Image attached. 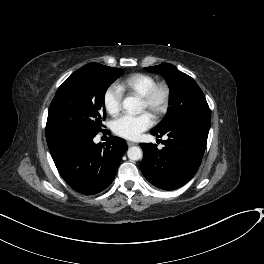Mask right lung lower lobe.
I'll return each mask as SVG.
<instances>
[{
  "label": "right lung lower lobe",
  "instance_id": "98d812e1",
  "mask_svg": "<svg viewBox=\"0 0 264 264\" xmlns=\"http://www.w3.org/2000/svg\"><path fill=\"white\" fill-rule=\"evenodd\" d=\"M95 135L70 134L47 140L54 163L65 182L75 191L93 195L114 180L125 140L110 136L104 144L93 142Z\"/></svg>",
  "mask_w": 264,
  "mask_h": 264
}]
</instances>
